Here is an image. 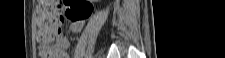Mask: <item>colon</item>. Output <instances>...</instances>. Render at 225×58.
<instances>
[{"label": "colon", "mask_w": 225, "mask_h": 58, "mask_svg": "<svg viewBox=\"0 0 225 58\" xmlns=\"http://www.w3.org/2000/svg\"><path fill=\"white\" fill-rule=\"evenodd\" d=\"M92 11L90 1H65L64 7L57 6L55 1L41 0L37 6V39L42 43L57 42L61 36V24L64 15L71 21L86 19ZM50 57L59 58L63 54L61 47H54Z\"/></svg>", "instance_id": "colon-1"}]
</instances>
